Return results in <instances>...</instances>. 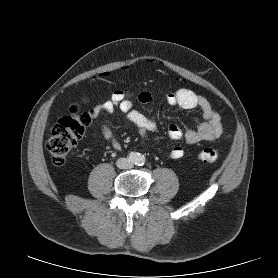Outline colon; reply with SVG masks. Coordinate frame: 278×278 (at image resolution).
<instances>
[{"mask_svg":"<svg viewBox=\"0 0 278 278\" xmlns=\"http://www.w3.org/2000/svg\"><path fill=\"white\" fill-rule=\"evenodd\" d=\"M91 119V112L82 111L78 104L72 105L68 114L58 119L46 142V148L54 164L65 163L72 149L82 138ZM198 158L203 163H214L219 158V151L212 147H205L200 150Z\"/></svg>","mask_w":278,"mask_h":278,"instance_id":"obj_1","label":"colon"}]
</instances>
